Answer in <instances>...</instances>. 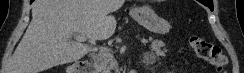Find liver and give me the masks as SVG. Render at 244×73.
Segmentation results:
<instances>
[{"label":"liver","mask_w":244,"mask_h":73,"mask_svg":"<svg viewBox=\"0 0 244 73\" xmlns=\"http://www.w3.org/2000/svg\"><path fill=\"white\" fill-rule=\"evenodd\" d=\"M124 0H35L32 20L14 51L8 73H41L84 57L98 40L111 37L116 19L110 13ZM82 34L89 44L71 41Z\"/></svg>","instance_id":"6515ba94"}]
</instances>
